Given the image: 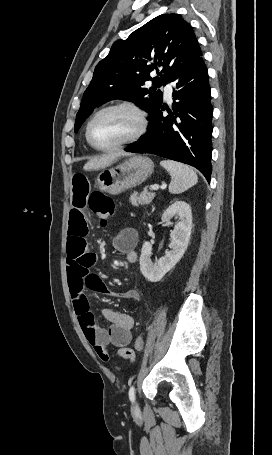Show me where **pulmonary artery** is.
Instances as JSON below:
<instances>
[{
	"mask_svg": "<svg viewBox=\"0 0 272 455\" xmlns=\"http://www.w3.org/2000/svg\"><path fill=\"white\" fill-rule=\"evenodd\" d=\"M164 94H165V97L167 99H170L171 98V95H172V85L170 83H167L165 86H164Z\"/></svg>",
	"mask_w": 272,
	"mask_h": 455,
	"instance_id": "obj_1",
	"label": "pulmonary artery"
}]
</instances>
